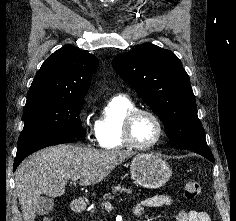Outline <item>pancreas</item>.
<instances>
[{"mask_svg":"<svg viewBox=\"0 0 236 221\" xmlns=\"http://www.w3.org/2000/svg\"><path fill=\"white\" fill-rule=\"evenodd\" d=\"M121 193V192H126L128 194H131L132 193V190L130 188H125V187H113V190L112 192H108L106 194H104L103 196V200L101 201L100 205L98 206H94L91 210H90V216H91V219L92 221H103L101 218H100V211L99 209H103L104 205H105V202L109 199H113L115 194L117 193Z\"/></svg>","mask_w":236,"mask_h":221,"instance_id":"pancreas-1","label":"pancreas"}]
</instances>
